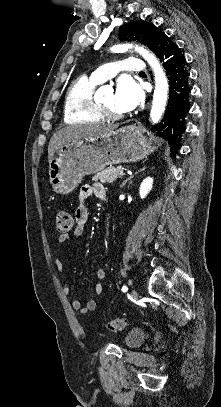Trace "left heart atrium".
I'll return each instance as SVG.
<instances>
[{
    "label": "left heart atrium",
    "instance_id": "left-heart-atrium-1",
    "mask_svg": "<svg viewBox=\"0 0 221 407\" xmlns=\"http://www.w3.org/2000/svg\"><path fill=\"white\" fill-rule=\"evenodd\" d=\"M115 95L118 105L125 111L136 108L144 99L142 88L129 76H122L118 79Z\"/></svg>",
    "mask_w": 221,
    "mask_h": 407
}]
</instances>
